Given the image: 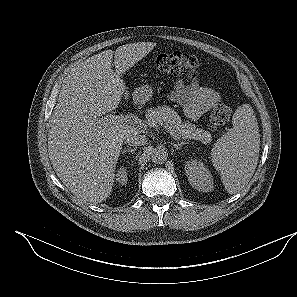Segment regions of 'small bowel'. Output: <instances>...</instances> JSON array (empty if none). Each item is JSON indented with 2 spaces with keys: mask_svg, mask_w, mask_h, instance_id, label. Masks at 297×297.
<instances>
[{
  "mask_svg": "<svg viewBox=\"0 0 297 297\" xmlns=\"http://www.w3.org/2000/svg\"><path fill=\"white\" fill-rule=\"evenodd\" d=\"M169 99L182 107L189 120L195 121L220 102V95L213 88L201 85L197 79L188 83L177 79Z\"/></svg>",
  "mask_w": 297,
  "mask_h": 297,
  "instance_id": "obj_1",
  "label": "small bowel"
}]
</instances>
